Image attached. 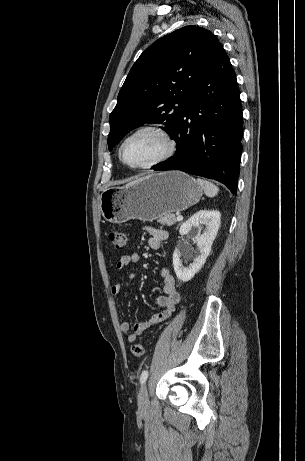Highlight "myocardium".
Segmentation results:
<instances>
[{"mask_svg": "<svg viewBox=\"0 0 305 461\" xmlns=\"http://www.w3.org/2000/svg\"><path fill=\"white\" fill-rule=\"evenodd\" d=\"M145 132H152V133H156L159 136H161L166 143V149L159 157H157L156 159L146 164L138 165V166L131 165L127 163L124 158V154H123L124 146L130 139L137 136L138 134L145 133ZM176 149H177L176 141L174 140L171 133L164 125L159 124V123H149V124H145V125H142L136 128L123 139L119 147V158L124 165H126L127 167L131 169L146 170V169L153 168L157 165H160L164 163L165 161H167L168 159H170L175 154Z\"/></svg>", "mask_w": 305, "mask_h": 461, "instance_id": "myocardium-1", "label": "myocardium"}]
</instances>
